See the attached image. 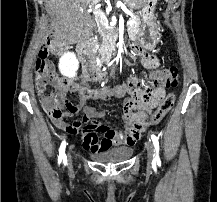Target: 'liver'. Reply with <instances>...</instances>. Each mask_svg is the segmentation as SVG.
Listing matches in <instances>:
<instances>
[{"label": "liver", "mask_w": 217, "mask_h": 202, "mask_svg": "<svg viewBox=\"0 0 217 202\" xmlns=\"http://www.w3.org/2000/svg\"><path fill=\"white\" fill-rule=\"evenodd\" d=\"M93 0H45L48 14L55 20V46H71L86 42L93 34L95 22L88 12ZM131 10H139L146 0H122Z\"/></svg>", "instance_id": "obj_1"}]
</instances>
